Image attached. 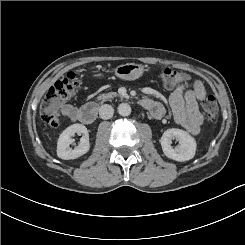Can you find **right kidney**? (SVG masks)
Masks as SVG:
<instances>
[{
  "instance_id": "right-kidney-1",
  "label": "right kidney",
  "mask_w": 245,
  "mask_h": 245,
  "mask_svg": "<svg viewBox=\"0 0 245 245\" xmlns=\"http://www.w3.org/2000/svg\"><path fill=\"white\" fill-rule=\"evenodd\" d=\"M77 133L83 134L80 143L74 149L70 148V144L74 142L71 137ZM89 134L87 128L82 124H73L67 127L59 136L57 142V156L64 160L76 159L89 151Z\"/></svg>"
}]
</instances>
